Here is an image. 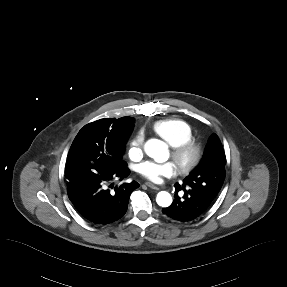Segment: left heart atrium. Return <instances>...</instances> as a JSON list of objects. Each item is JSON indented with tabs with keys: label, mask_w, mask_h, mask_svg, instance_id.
<instances>
[{
	"label": "left heart atrium",
	"mask_w": 287,
	"mask_h": 287,
	"mask_svg": "<svg viewBox=\"0 0 287 287\" xmlns=\"http://www.w3.org/2000/svg\"><path fill=\"white\" fill-rule=\"evenodd\" d=\"M177 168L174 163H156V162H144L140 165L139 173L145 179L159 183L163 177H172L176 174Z\"/></svg>",
	"instance_id": "39dd6f15"
}]
</instances>
